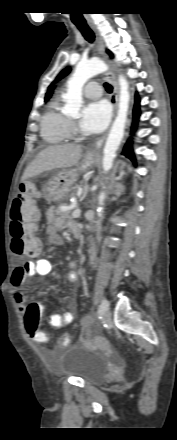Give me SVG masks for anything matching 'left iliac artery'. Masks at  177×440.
Instances as JSON below:
<instances>
[{
    "mask_svg": "<svg viewBox=\"0 0 177 440\" xmlns=\"http://www.w3.org/2000/svg\"><path fill=\"white\" fill-rule=\"evenodd\" d=\"M108 306H109L108 301L105 299L102 300L101 305L98 309V314H102L107 309Z\"/></svg>",
    "mask_w": 177,
    "mask_h": 440,
    "instance_id": "1",
    "label": "left iliac artery"
}]
</instances>
